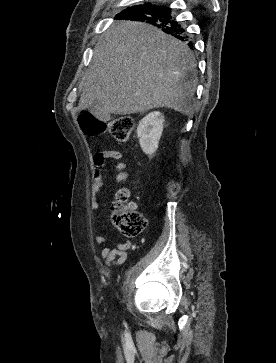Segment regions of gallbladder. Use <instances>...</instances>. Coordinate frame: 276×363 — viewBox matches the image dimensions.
Masks as SVG:
<instances>
[{"label": "gallbladder", "instance_id": "obj_1", "mask_svg": "<svg viewBox=\"0 0 276 363\" xmlns=\"http://www.w3.org/2000/svg\"><path fill=\"white\" fill-rule=\"evenodd\" d=\"M89 111L91 113H96L98 112L100 114V119L101 121H106L110 119V114L109 113H103L102 112V107L98 102H94L92 106L89 107Z\"/></svg>", "mask_w": 276, "mask_h": 363}]
</instances>
